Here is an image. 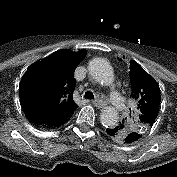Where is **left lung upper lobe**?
<instances>
[{
	"label": "left lung upper lobe",
	"instance_id": "obj_1",
	"mask_svg": "<svg viewBox=\"0 0 177 177\" xmlns=\"http://www.w3.org/2000/svg\"><path fill=\"white\" fill-rule=\"evenodd\" d=\"M130 80V97L136 103L135 115L117 126L119 134L115 140L118 141L130 132L144 135L154 124L160 107V89L157 82L135 61H130Z\"/></svg>",
	"mask_w": 177,
	"mask_h": 177
}]
</instances>
